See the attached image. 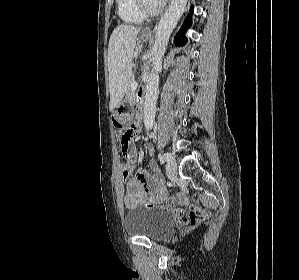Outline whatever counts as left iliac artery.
Segmentation results:
<instances>
[{
	"label": "left iliac artery",
	"instance_id": "1",
	"mask_svg": "<svg viewBox=\"0 0 299 280\" xmlns=\"http://www.w3.org/2000/svg\"><path fill=\"white\" fill-rule=\"evenodd\" d=\"M163 161H169L172 159V155L170 153H165L160 157Z\"/></svg>",
	"mask_w": 299,
	"mask_h": 280
}]
</instances>
